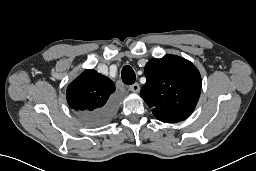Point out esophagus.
<instances>
[{
	"label": "esophagus",
	"instance_id": "esophagus-1",
	"mask_svg": "<svg viewBox=\"0 0 256 171\" xmlns=\"http://www.w3.org/2000/svg\"><path fill=\"white\" fill-rule=\"evenodd\" d=\"M130 91L133 93H138L140 91V86L138 83H134L129 87Z\"/></svg>",
	"mask_w": 256,
	"mask_h": 171
}]
</instances>
